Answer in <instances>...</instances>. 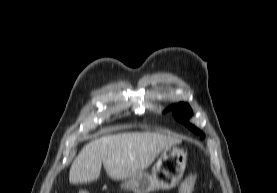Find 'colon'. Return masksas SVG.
Returning <instances> with one entry per match:
<instances>
[{
  "label": "colon",
  "mask_w": 277,
  "mask_h": 193,
  "mask_svg": "<svg viewBox=\"0 0 277 193\" xmlns=\"http://www.w3.org/2000/svg\"><path fill=\"white\" fill-rule=\"evenodd\" d=\"M196 185V175L190 174L181 184L177 193H192ZM77 193H89L85 190H80Z\"/></svg>",
  "instance_id": "5ec220e1"
}]
</instances>
